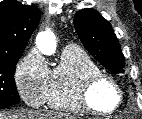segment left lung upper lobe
<instances>
[{
    "label": "left lung upper lobe",
    "instance_id": "left-lung-upper-lobe-1",
    "mask_svg": "<svg viewBox=\"0 0 142 119\" xmlns=\"http://www.w3.org/2000/svg\"><path fill=\"white\" fill-rule=\"evenodd\" d=\"M74 26L87 51L113 74L124 73L125 60L110 23L96 10L86 8L75 14Z\"/></svg>",
    "mask_w": 142,
    "mask_h": 119
}]
</instances>
